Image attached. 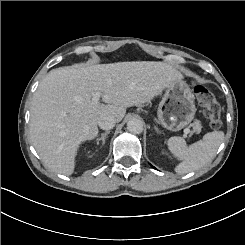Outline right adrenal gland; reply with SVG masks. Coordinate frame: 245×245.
Listing matches in <instances>:
<instances>
[{
  "mask_svg": "<svg viewBox=\"0 0 245 245\" xmlns=\"http://www.w3.org/2000/svg\"><path fill=\"white\" fill-rule=\"evenodd\" d=\"M109 133H110L109 130H107L105 133H102V134H101V137L96 139L97 145H99V142H100V141H102V145H104V144H105V138H106V136H107Z\"/></svg>",
  "mask_w": 245,
  "mask_h": 245,
  "instance_id": "2a0ac1e0",
  "label": "right adrenal gland"
}]
</instances>
